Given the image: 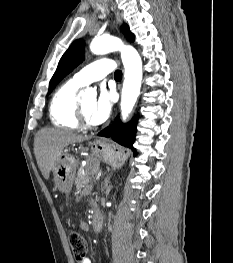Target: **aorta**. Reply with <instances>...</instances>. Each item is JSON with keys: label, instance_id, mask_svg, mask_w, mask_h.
<instances>
[{"label": "aorta", "instance_id": "1", "mask_svg": "<svg viewBox=\"0 0 233 263\" xmlns=\"http://www.w3.org/2000/svg\"><path fill=\"white\" fill-rule=\"evenodd\" d=\"M90 50L94 54H106L113 51H120L122 62L125 68V79L121 96V113L125 120L131 113L140 93L142 81V61L132 46L124 45L123 42L113 36L96 37L90 44ZM95 91L91 88L84 90L82 100L86 101L92 97Z\"/></svg>", "mask_w": 233, "mask_h": 263}]
</instances>
